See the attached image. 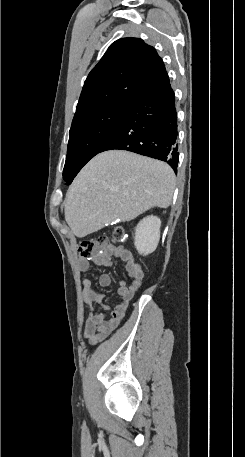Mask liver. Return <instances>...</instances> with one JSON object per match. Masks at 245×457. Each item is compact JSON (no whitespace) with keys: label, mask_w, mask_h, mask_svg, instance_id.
Returning a JSON list of instances; mask_svg holds the SVG:
<instances>
[{"label":"liver","mask_w":245,"mask_h":457,"mask_svg":"<svg viewBox=\"0 0 245 457\" xmlns=\"http://www.w3.org/2000/svg\"><path fill=\"white\" fill-rule=\"evenodd\" d=\"M175 172L167 162L129 150H105L75 176L65 198V220L76 237L105 224L132 220L152 206L172 202Z\"/></svg>","instance_id":"1"}]
</instances>
